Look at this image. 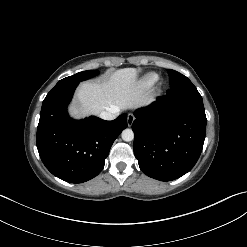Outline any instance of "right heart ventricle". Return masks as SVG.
Returning a JSON list of instances; mask_svg holds the SVG:
<instances>
[{
    "label": "right heart ventricle",
    "mask_w": 247,
    "mask_h": 247,
    "mask_svg": "<svg viewBox=\"0 0 247 247\" xmlns=\"http://www.w3.org/2000/svg\"><path fill=\"white\" fill-rule=\"evenodd\" d=\"M158 79V75L155 73H149L145 75L140 81L139 85L142 88H149L151 87Z\"/></svg>",
    "instance_id": "obj_1"
}]
</instances>
